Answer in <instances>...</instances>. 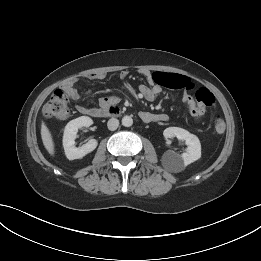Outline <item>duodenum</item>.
I'll use <instances>...</instances> for the list:
<instances>
[{
	"label": "duodenum",
	"instance_id": "1",
	"mask_svg": "<svg viewBox=\"0 0 261 261\" xmlns=\"http://www.w3.org/2000/svg\"><path fill=\"white\" fill-rule=\"evenodd\" d=\"M118 113H119L118 108L111 106V107H108V108H106L104 110H97V111L93 112L92 116H94V117H101V116H105V115H115V114H118ZM143 120L145 122L148 121L147 118H143Z\"/></svg>",
	"mask_w": 261,
	"mask_h": 261
}]
</instances>
